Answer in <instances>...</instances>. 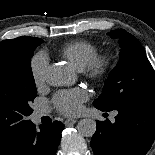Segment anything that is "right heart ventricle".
I'll return each mask as SVG.
<instances>
[{
    "mask_svg": "<svg viewBox=\"0 0 155 155\" xmlns=\"http://www.w3.org/2000/svg\"><path fill=\"white\" fill-rule=\"evenodd\" d=\"M61 54L78 70H82L97 54L96 47L85 41L76 40L61 49Z\"/></svg>",
    "mask_w": 155,
    "mask_h": 155,
    "instance_id": "e07e8e85",
    "label": "right heart ventricle"
}]
</instances>
